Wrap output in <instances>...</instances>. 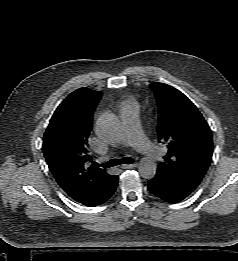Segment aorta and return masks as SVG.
Segmentation results:
<instances>
[{
  "label": "aorta",
  "instance_id": "1",
  "mask_svg": "<svg viewBox=\"0 0 238 261\" xmlns=\"http://www.w3.org/2000/svg\"><path fill=\"white\" fill-rule=\"evenodd\" d=\"M97 131L101 137L109 140H117L120 134V125L114 114L105 115L97 124ZM139 173L144 179H152L156 174V163L150 158H142L139 162Z\"/></svg>",
  "mask_w": 238,
  "mask_h": 261
}]
</instances>
